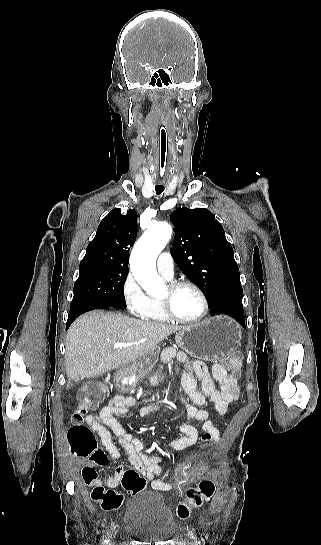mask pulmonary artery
I'll use <instances>...</instances> for the list:
<instances>
[{
    "instance_id": "pulmonary-artery-1",
    "label": "pulmonary artery",
    "mask_w": 321,
    "mask_h": 545,
    "mask_svg": "<svg viewBox=\"0 0 321 545\" xmlns=\"http://www.w3.org/2000/svg\"><path fill=\"white\" fill-rule=\"evenodd\" d=\"M159 273L166 279L173 277L174 262L169 252H162L157 259Z\"/></svg>"
}]
</instances>
